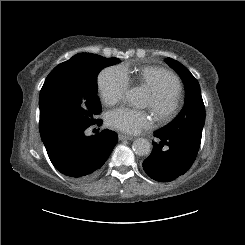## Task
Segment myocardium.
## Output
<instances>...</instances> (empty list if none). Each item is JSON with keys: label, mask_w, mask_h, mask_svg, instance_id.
<instances>
[{"label": "myocardium", "mask_w": 245, "mask_h": 245, "mask_svg": "<svg viewBox=\"0 0 245 245\" xmlns=\"http://www.w3.org/2000/svg\"><path fill=\"white\" fill-rule=\"evenodd\" d=\"M170 80L173 74L168 73ZM151 97L150 109L159 121L170 120L178 111L180 96L171 82H165L156 88L149 90Z\"/></svg>", "instance_id": "obj_1"}]
</instances>
